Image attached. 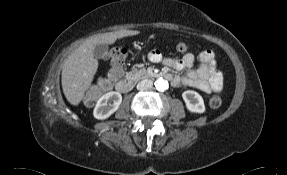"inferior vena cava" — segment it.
I'll return each mask as SVG.
<instances>
[{
    "instance_id": "obj_1",
    "label": "inferior vena cava",
    "mask_w": 287,
    "mask_h": 175,
    "mask_svg": "<svg viewBox=\"0 0 287 175\" xmlns=\"http://www.w3.org/2000/svg\"><path fill=\"white\" fill-rule=\"evenodd\" d=\"M152 85H153V82L151 80L145 79L138 83L137 88L138 90H146Z\"/></svg>"
}]
</instances>
